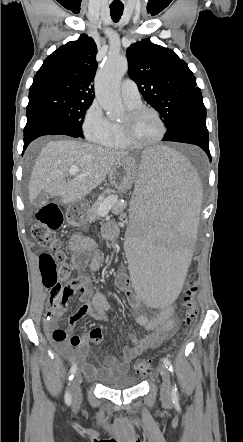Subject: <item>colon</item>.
<instances>
[{
	"label": "colon",
	"mask_w": 243,
	"mask_h": 442,
	"mask_svg": "<svg viewBox=\"0 0 243 442\" xmlns=\"http://www.w3.org/2000/svg\"><path fill=\"white\" fill-rule=\"evenodd\" d=\"M127 218L126 213L116 215L118 222H126ZM37 219L38 223L33 226L31 234L37 244L48 248L50 251L40 256L39 265L42 283L50 295L49 306L54 308L66 304L68 299L76 293L79 283L71 279V270L64 261L65 257L60 250V242L56 237V232L63 224V214L56 202L44 203L37 213ZM196 273V267H191L187 271V278H185L184 283L188 287L181 292L185 308L182 322L185 327L192 324L198 313L196 300L198 287L194 282ZM52 339L65 341L67 335L63 329L57 327L52 332ZM132 362V370L136 374L145 375L154 370L151 360L134 357Z\"/></svg>",
	"instance_id": "5ec220e1"
}]
</instances>
